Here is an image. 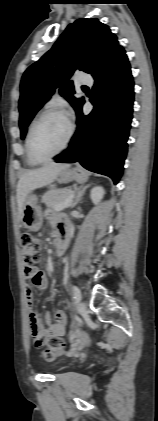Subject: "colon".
<instances>
[{
    "instance_id": "colon-1",
    "label": "colon",
    "mask_w": 158,
    "mask_h": 421,
    "mask_svg": "<svg viewBox=\"0 0 158 421\" xmlns=\"http://www.w3.org/2000/svg\"><path fill=\"white\" fill-rule=\"evenodd\" d=\"M20 245L25 267L34 268L40 257V242L31 233L24 232L20 236ZM39 344V342H37ZM65 348V341L60 336H52L46 341V348L43 357L47 361H52Z\"/></svg>"
}]
</instances>
